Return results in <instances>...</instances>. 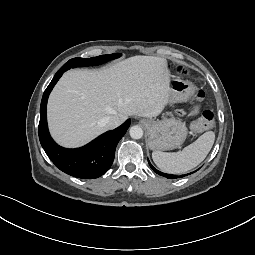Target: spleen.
Segmentation results:
<instances>
[{
  "label": "spleen",
  "mask_w": 255,
  "mask_h": 255,
  "mask_svg": "<svg viewBox=\"0 0 255 255\" xmlns=\"http://www.w3.org/2000/svg\"><path fill=\"white\" fill-rule=\"evenodd\" d=\"M214 141V132L208 131L182 151L174 153L154 151L152 153V159L157 167L166 173H186L195 168L206 158Z\"/></svg>",
  "instance_id": "spleen-1"
}]
</instances>
